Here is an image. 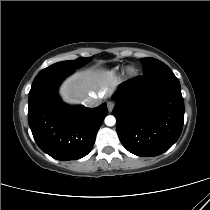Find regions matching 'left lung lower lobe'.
<instances>
[{"label":"left lung lower lobe","mask_w":210,"mask_h":210,"mask_svg":"<svg viewBox=\"0 0 210 210\" xmlns=\"http://www.w3.org/2000/svg\"><path fill=\"white\" fill-rule=\"evenodd\" d=\"M113 98L117 133L129 152L157 156L178 140L184 102L180 83L167 65L123 82Z\"/></svg>","instance_id":"0a47b994"}]
</instances>
